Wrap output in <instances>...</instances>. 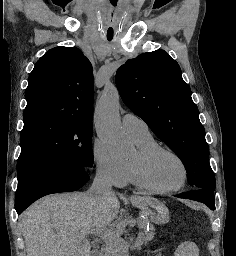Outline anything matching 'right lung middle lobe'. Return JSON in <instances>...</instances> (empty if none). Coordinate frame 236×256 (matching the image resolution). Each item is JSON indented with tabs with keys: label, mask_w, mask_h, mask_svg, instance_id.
<instances>
[{
	"label": "right lung middle lobe",
	"mask_w": 236,
	"mask_h": 256,
	"mask_svg": "<svg viewBox=\"0 0 236 256\" xmlns=\"http://www.w3.org/2000/svg\"><path fill=\"white\" fill-rule=\"evenodd\" d=\"M92 122L50 117L24 121L17 162L18 182L30 173L66 165L91 168Z\"/></svg>",
	"instance_id": "obj_1"
}]
</instances>
